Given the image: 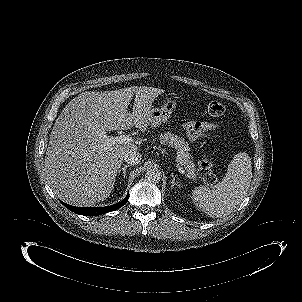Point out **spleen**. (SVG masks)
I'll list each match as a JSON object with an SVG mask.
<instances>
[{
    "mask_svg": "<svg viewBox=\"0 0 302 302\" xmlns=\"http://www.w3.org/2000/svg\"><path fill=\"white\" fill-rule=\"evenodd\" d=\"M252 178L248 154L238 153L231 161L223 180L210 188L206 185L192 190V202L210 217L229 215L244 198Z\"/></svg>",
    "mask_w": 302,
    "mask_h": 302,
    "instance_id": "1",
    "label": "spleen"
}]
</instances>
